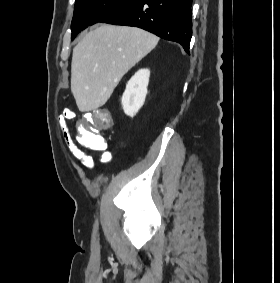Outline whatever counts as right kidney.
<instances>
[{
  "instance_id": "1",
  "label": "right kidney",
  "mask_w": 280,
  "mask_h": 283,
  "mask_svg": "<svg viewBox=\"0 0 280 283\" xmlns=\"http://www.w3.org/2000/svg\"><path fill=\"white\" fill-rule=\"evenodd\" d=\"M149 77V69H140L128 81L122 96V106L126 115L133 117L143 106L147 95Z\"/></svg>"
}]
</instances>
